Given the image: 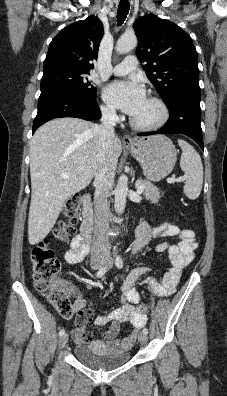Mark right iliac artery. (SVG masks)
<instances>
[{"instance_id":"1","label":"right iliac artery","mask_w":227,"mask_h":396,"mask_svg":"<svg viewBox=\"0 0 227 396\" xmlns=\"http://www.w3.org/2000/svg\"><path fill=\"white\" fill-rule=\"evenodd\" d=\"M106 272H107V267H102L101 269H99V270L97 271L96 277H97V278H100V277H102ZM64 333H65V330H64V329H61V330L59 331V336H62Z\"/></svg>"}]
</instances>
